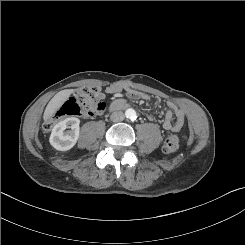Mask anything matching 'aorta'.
<instances>
[{"label":"aorta","instance_id":"obj_1","mask_svg":"<svg viewBox=\"0 0 245 245\" xmlns=\"http://www.w3.org/2000/svg\"><path fill=\"white\" fill-rule=\"evenodd\" d=\"M125 114H126V117L127 118H130V119H134L135 117H136V112H135V110L134 109H127L126 110V112H125Z\"/></svg>","mask_w":245,"mask_h":245}]
</instances>
